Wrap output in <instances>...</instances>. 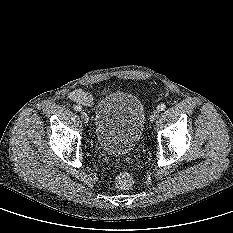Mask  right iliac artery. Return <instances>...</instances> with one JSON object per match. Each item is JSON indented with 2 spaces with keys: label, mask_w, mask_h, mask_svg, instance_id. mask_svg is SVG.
Returning a JSON list of instances; mask_svg holds the SVG:
<instances>
[{
  "label": "right iliac artery",
  "mask_w": 233,
  "mask_h": 233,
  "mask_svg": "<svg viewBox=\"0 0 233 233\" xmlns=\"http://www.w3.org/2000/svg\"><path fill=\"white\" fill-rule=\"evenodd\" d=\"M74 110L80 112L82 110V107L77 105L74 107Z\"/></svg>",
  "instance_id": "right-iliac-artery-1"
}]
</instances>
